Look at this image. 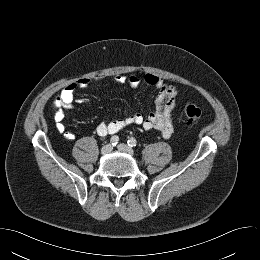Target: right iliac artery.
Segmentation results:
<instances>
[{"instance_id": "obj_1", "label": "right iliac artery", "mask_w": 260, "mask_h": 260, "mask_svg": "<svg viewBox=\"0 0 260 260\" xmlns=\"http://www.w3.org/2000/svg\"><path fill=\"white\" fill-rule=\"evenodd\" d=\"M118 142H119V137H118V136H113V137H111L110 143H111L113 146L117 145Z\"/></svg>"}]
</instances>
